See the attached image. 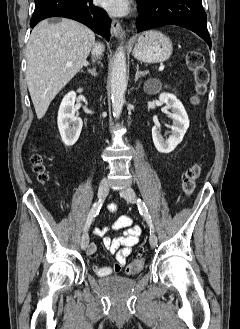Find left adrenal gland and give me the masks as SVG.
<instances>
[{"label": "left adrenal gland", "instance_id": "1", "mask_svg": "<svg viewBox=\"0 0 240 329\" xmlns=\"http://www.w3.org/2000/svg\"><path fill=\"white\" fill-rule=\"evenodd\" d=\"M147 73H148V71H139V65H137L136 74H135V82H137L140 77L145 76Z\"/></svg>", "mask_w": 240, "mask_h": 329}]
</instances>
